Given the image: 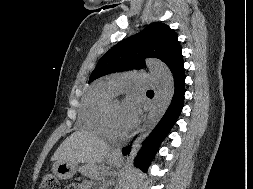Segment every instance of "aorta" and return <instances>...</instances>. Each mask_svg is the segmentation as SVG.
Segmentation results:
<instances>
[{
  "instance_id": "obj_1",
  "label": "aorta",
  "mask_w": 253,
  "mask_h": 189,
  "mask_svg": "<svg viewBox=\"0 0 253 189\" xmlns=\"http://www.w3.org/2000/svg\"><path fill=\"white\" fill-rule=\"evenodd\" d=\"M147 66L157 80V92L140 134L132 145V149L123 168V173L129 172L132 168L135 156L141 148L142 143L159 123L174 95V78L170 69L163 62L155 59L147 60Z\"/></svg>"
}]
</instances>
